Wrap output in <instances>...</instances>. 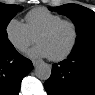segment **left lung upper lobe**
Instances as JSON below:
<instances>
[{"instance_id":"1","label":"left lung upper lobe","mask_w":95,"mask_h":95,"mask_svg":"<svg viewBox=\"0 0 95 95\" xmlns=\"http://www.w3.org/2000/svg\"><path fill=\"white\" fill-rule=\"evenodd\" d=\"M51 10L73 20L77 29L76 44L73 50H79L90 43H95V12L77 4H65L51 8Z\"/></svg>"}]
</instances>
